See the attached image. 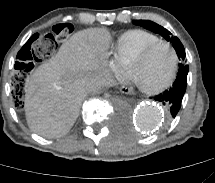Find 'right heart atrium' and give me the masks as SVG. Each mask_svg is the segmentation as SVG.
Returning <instances> with one entry per match:
<instances>
[{"mask_svg":"<svg viewBox=\"0 0 215 183\" xmlns=\"http://www.w3.org/2000/svg\"><path fill=\"white\" fill-rule=\"evenodd\" d=\"M110 67L118 77H121L123 75L125 67L115 56L110 62Z\"/></svg>","mask_w":215,"mask_h":183,"instance_id":"1","label":"right heart atrium"}]
</instances>
